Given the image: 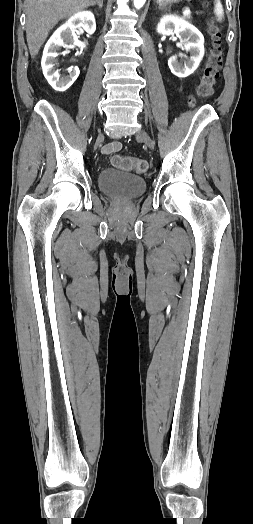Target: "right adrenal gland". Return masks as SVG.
<instances>
[{
  "label": "right adrenal gland",
  "mask_w": 253,
  "mask_h": 524,
  "mask_svg": "<svg viewBox=\"0 0 253 524\" xmlns=\"http://www.w3.org/2000/svg\"><path fill=\"white\" fill-rule=\"evenodd\" d=\"M93 5H98L100 9L103 7V0H97Z\"/></svg>",
  "instance_id": "obj_1"
}]
</instances>
